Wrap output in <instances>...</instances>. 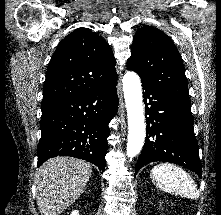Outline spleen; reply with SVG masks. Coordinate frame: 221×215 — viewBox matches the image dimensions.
<instances>
[{
  "mask_svg": "<svg viewBox=\"0 0 221 215\" xmlns=\"http://www.w3.org/2000/svg\"><path fill=\"white\" fill-rule=\"evenodd\" d=\"M152 182L161 190L178 194L190 199H197L199 191L193 178L182 168L169 163L156 165L152 168Z\"/></svg>",
  "mask_w": 221,
  "mask_h": 215,
  "instance_id": "spleen-1",
  "label": "spleen"
}]
</instances>
